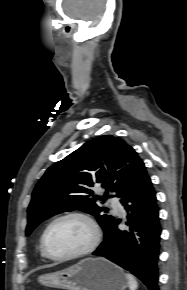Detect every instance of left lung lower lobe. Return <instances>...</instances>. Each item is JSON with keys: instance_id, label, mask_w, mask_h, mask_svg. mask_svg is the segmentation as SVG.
I'll return each mask as SVG.
<instances>
[{"instance_id": "1", "label": "left lung lower lobe", "mask_w": 187, "mask_h": 290, "mask_svg": "<svg viewBox=\"0 0 187 290\" xmlns=\"http://www.w3.org/2000/svg\"><path fill=\"white\" fill-rule=\"evenodd\" d=\"M127 211V230L118 228L115 220L104 231V241L94 251L138 277L149 290H159L158 257L161 226L156 192L145 175L123 197Z\"/></svg>"}]
</instances>
